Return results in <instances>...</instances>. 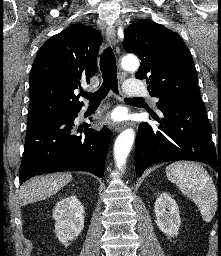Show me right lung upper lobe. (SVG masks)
I'll use <instances>...</instances> for the list:
<instances>
[{
	"label": "right lung upper lobe",
	"mask_w": 221,
	"mask_h": 256,
	"mask_svg": "<svg viewBox=\"0 0 221 256\" xmlns=\"http://www.w3.org/2000/svg\"><path fill=\"white\" fill-rule=\"evenodd\" d=\"M100 33L74 24L52 36L40 48L30 74L29 117H50L79 110L83 102L75 91L97 72Z\"/></svg>",
	"instance_id": "1"
}]
</instances>
